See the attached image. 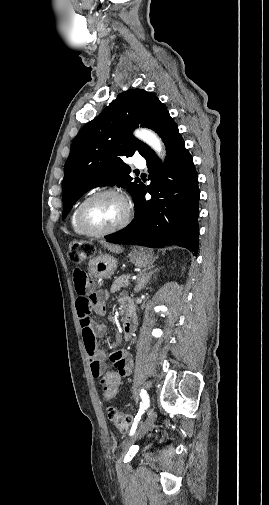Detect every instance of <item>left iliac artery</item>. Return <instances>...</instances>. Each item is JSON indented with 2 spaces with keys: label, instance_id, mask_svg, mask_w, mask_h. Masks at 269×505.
<instances>
[{
  "label": "left iliac artery",
  "instance_id": "44dca946",
  "mask_svg": "<svg viewBox=\"0 0 269 505\" xmlns=\"http://www.w3.org/2000/svg\"><path fill=\"white\" fill-rule=\"evenodd\" d=\"M140 396H141L140 409L134 418L132 427L129 432V436H132L135 433L138 423L141 419V416L144 414L145 410L149 407V396H148L146 390L142 389L140 392Z\"/></svg>",
  "mask_w": 269,
  "mask_h": 505
}]
</instances>
